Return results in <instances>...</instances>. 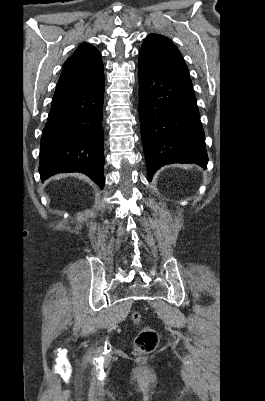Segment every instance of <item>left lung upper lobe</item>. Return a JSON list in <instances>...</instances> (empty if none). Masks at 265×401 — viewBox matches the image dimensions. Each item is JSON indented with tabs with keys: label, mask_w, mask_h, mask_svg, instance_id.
Instances as JSON below:
<instances>
[{
	"label": "left lung upper lobe",
	"mask_w": 265,
	"mask_h": 401,
	"mask_svg": "<svg viewBox=\"0 0 265 401\" xmlns=\"http://www.w3.org/2000/svg\"><path fill=\"white\" fill-rule=\"evenodd\" d=\"M139 61L167 73L189 75L188 68L177 47L165 36L150 34L140 49Z\"/></svg>",
	"instance_id": "left-lung-upper-lobe-1"
}]
</instances>
